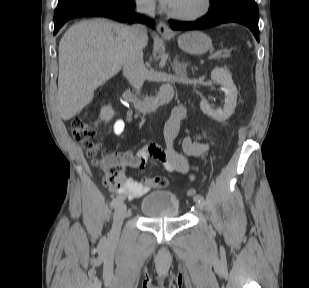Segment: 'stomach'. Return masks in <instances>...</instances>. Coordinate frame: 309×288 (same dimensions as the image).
Masks as SVG:
<instances>
[{"label":"stomach","mask_w":309,"mask_h":288,"mask_svg":"<svg viewBox=\"0 0 309 288\" xmlns=\"http://www.w3.org/2000/svg\"><path fill=\"white\" fill-rule=\"evenodd\" d=\"M178 46L185 52L202 54L212 47V41L201 31H191L179 36Z\"/></svg>","instance_id":"obj_1"}]
</instances>
